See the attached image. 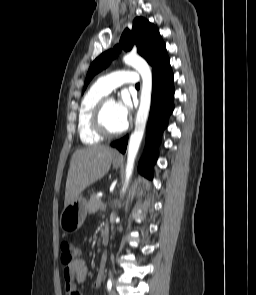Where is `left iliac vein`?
Masks as SVG:
<instances>
[{
    "mask_svg": "<svg viewBox=\"0 0 256 295\" xmlns=\"http://www.w3.org/2000/svg\"><path fill=\"white\" fill-rule=\"evenodd\" d=\"M109 295H117L115 290L110 291Z\"/></svg>",
    "mask_w": 256,
    "mask_h": 295,
    "instance_id": "left-iliac-vein-1",
    "label": "left iliac vein"
}]
</instances>
